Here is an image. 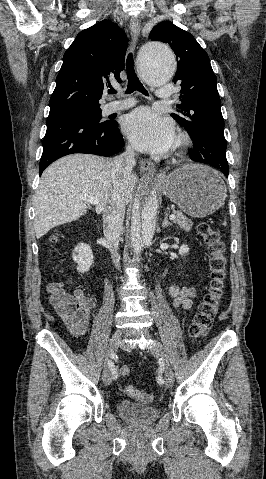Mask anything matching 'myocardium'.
Returning a JSON list of instances; mask_svg holds the SVG:
<instances>
[{"label": "myocardium", "mask_w": 266, "mask_h": 479, "mask_svg": "<svg viewBox=\"0 0 266 479\" xmlns=\"http://www.w3.org/2000/svg\"><path fill=\"white\" fill-rule=\"evenodd\" d=\"M190 145V138L186 134H179L174 142V149H184Z\"/></svg>", "instance_id": "1"}]
</instances>
